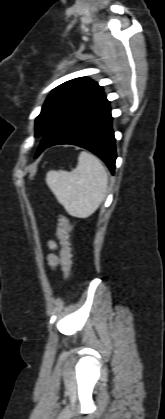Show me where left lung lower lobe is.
Segmentation results:
<instances>
[{
    "mask_svg": "<svg viewBox=\"0 0 165 419\" xmlns=\"http://www.w3.org/2000/svg\"><path fill=\"white\" fill-rule=\"evenodd\" d=\"M109 101L102 92L71 109L43 137L36 156L58 144L83 147L100 157L114 173L116 151Z\"/></svg>",
    "mask_w": 165,
    "mask_h": 419,
    "instance_id": "left-lung-lower-lobe-1",
    "label": "left lung lower lobe"
}]
</instances>
